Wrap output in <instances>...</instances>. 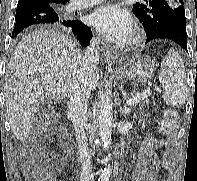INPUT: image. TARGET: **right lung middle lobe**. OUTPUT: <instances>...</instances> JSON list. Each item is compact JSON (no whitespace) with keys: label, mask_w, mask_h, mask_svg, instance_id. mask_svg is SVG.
Wrapping results in <instances>:
<instances>
[{"label":"right lung middle lobe","mask_w":197,"mask_h":181,"mask_svg":"<svg viewBox=\"0 0 197 181\" xmlns=\"http://www.w3.org/2000/svg\"><path fill=\"white\" fill-rule=\"evenodd\" d=\"M53 7L56 9V11H57L58 13L62 14L63 6L57 5V6H53Z\"/></svg>","instance_id":"right-lung-middle-lobe-1"}]
</instances>
